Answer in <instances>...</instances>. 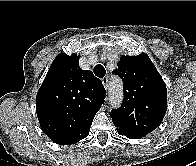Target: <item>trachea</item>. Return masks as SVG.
I'll return each instance as SVG.
<instances>
[{"instance_id":"trachea-1","label":"trachea","mask_w":196,"mask_h":166,"mask_svg":"<svg viewBox=\"0 0 196 166\" xmlns=\"http://www.w3.org/2000/svg\"><path fill=\"white\" fill-rule=\"evenodd\" d=\"M94 74L97 76V77H99V78H102V77H104V75H105V73H106V70H105V68H104V66L103 65H100V64H98V65H96L95 67H94Z\"/></svg>"}]
</instances>
